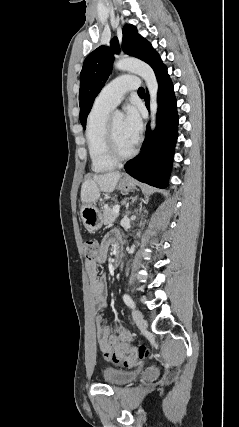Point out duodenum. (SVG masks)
Here are the masks:
<instances>
[{
  "label": "duodenum",
  "mask_w": 239,
  "mask_h": 427,
  "mask_svg": "<svg viewBox=\"0 0 239 427\" xmlns=\"http://www.w3.org/2000/svg\"><path fill=\"white\" fill-rule=\"evenodd\" d=\"M121 255H122V244L118 243L115 246V257H114V263H115V265H118L120 263Z\"/></svg>",
  "instance_id": "duodenum-1"
}]
</instances>
